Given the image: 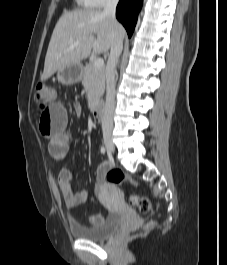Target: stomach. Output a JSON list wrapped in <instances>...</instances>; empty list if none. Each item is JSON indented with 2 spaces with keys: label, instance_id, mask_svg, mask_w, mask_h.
Listing matches in <instances>:
<instances>
[{
  "label": "stomach",
  "instance_id": "0dacf381",
  "mask_svg": "<svg viewBox=\"0 0 227 265\" xmlns=\"http://www.w3.org/2000/svg\"><path fill=\"white\" fill-rule=\"evenodd\" d=\"M84 68L79 64L70 65L57 71V80L63 85H72L78 83L83 76Z\"/></svg>",
  "mask_w": 227,
  "mask_h": 265
}]
</instances>
